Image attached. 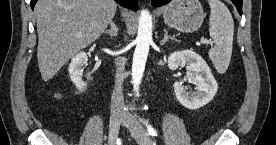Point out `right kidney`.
<instances>
[{
  "label": "right kidney",
  "mask_w": 276,
  "mask_h": 145,
  "mask_svg": "<svg viewBox=\"0 0 276 145\" xmlns=\"http://www.w3.org/2000/svg\"><path fill=\"white\" fill-rule=\"evenodd\" d=\"M87 61L88 57L86 53L80 52L72 58V61L69 64L68 71L71 81L75 84L79 91H83L87 87V83L82 81L83 66L87 63Z\"/></svg>",
  "instance_id": "right-kidney-1"
}]
</instances>
